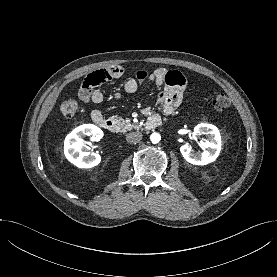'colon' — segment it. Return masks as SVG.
Instances as JSON below:
<instances>
[{
	"mask_svg": "<svg viewBox=\"0 0 277 277\" xmlns=\"http://www.w3.org/2000/svg\"><path fill=\"white\" fill-rule=\"evenodd\" d=\"M211 103L213 108L218 112H223L229 107V99L223 92H215L212 96ZM78 102L75 99H69L61 104V113L67 117H73L78 110Z\"/></svg>",
	"mask_w": 277,
	"mask_h": 277,
	"instance_id": "5ec220e1",
	"label": "colon"
}]
</instances>
